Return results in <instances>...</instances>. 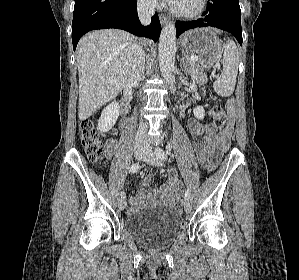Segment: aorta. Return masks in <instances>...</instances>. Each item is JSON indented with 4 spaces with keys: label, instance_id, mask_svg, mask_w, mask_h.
<instances>
[{
    "label": "aorta",
    "instance_id": "1",
    "mask_svg": "<svg viewBox=\"0 0 299 280\" xmlns=\"http://www.w3.org/2000/svg\"><path fill=\"white\" fill-rule=\"evenodd\" d=\"M159 66L165 81L174 91V69L176 53V28L173 23H168L161 32L159 40Z\"/></svg>",
    "mask_w": 299,
    "mask_h": 280
}]
</instances>
